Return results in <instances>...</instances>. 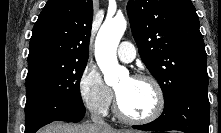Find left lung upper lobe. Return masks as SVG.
<instances>
[{
	"instance_id": "1",
	"label": "left lung upper lobe",
	"mask_w": 221,
	"mask_h": 133,
	"mask_svg": "<svg viewBox=\"0 0 221 133\" xmlns=\"http://www.w3.org/2000/svg\"><path fill=\"white\" fill-rule=\"evenodd\" d=\"M127 13L142 61L168 105L185 88L208 86L207 55L190 0H129Z\"/></svg>"
}]
</instances>
